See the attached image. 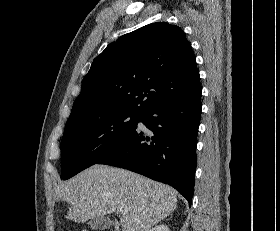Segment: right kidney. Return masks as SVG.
I'll use <instances>...</instances> for the list:
<instances>
[{
  "mask_svg": "<svg viewBox=\"0 0 280 231\" xmlns=\"http://www.w3.org/2000/svg\"><path fill=\"white\" fill-rule=\"evenodd\" d=\"M149 231H170V229L166 223H161V225H155V227H152Z\"/></svg>",
  "mask_w": 280,
  "mask_h": 231,
  "instance_id": "ca27d5eb",
  "label": "right kidney"
}]
</instances>
